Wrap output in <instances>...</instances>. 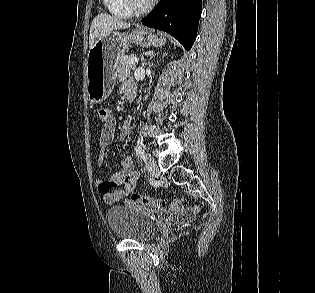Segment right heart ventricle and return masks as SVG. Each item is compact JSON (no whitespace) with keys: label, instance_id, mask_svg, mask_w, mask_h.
<instances>
[{"label":"right heart ventricle","instance_id":"obj_1","mask_svg":"<svg viewBox=\"0 0 315 293\" xmlns=\"http://www.w3.org/2000/svg\"><path fill=\"white\" fill-rule=\"evenodd\" d=\"M102 4L111 16L118 19H128L133 14L125 5L124 0H102Z\"/></svg>","mask_w":315,"mask_h":293}]
</instances>
